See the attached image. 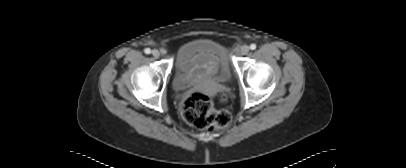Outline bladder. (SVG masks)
Here are the masks:
<instances>
[{
	"label": "bladder",
	"instance_id": "bladder-1",
	"mask_svg": "<svg viewBox=\"0 0 406 168\" xmlns=\"http://www.w3.org/2000/svg\"><path fill=\"white\" fill-rule=\"evenodd\" d=\"M196 56L206 58L207 63L211 64L212 69L208 74L223 80L229 78L230 73L223 57L222 47L213 40L199 38L187 42L178 51L173 77L174 90L182 91L199 80V76L195 73L197 68L187 69Z\"/></svg>",
	"mask_w": 406,
	"mask_h": 168
}]
</instances>
